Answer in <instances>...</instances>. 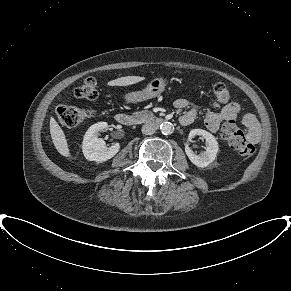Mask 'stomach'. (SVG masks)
I'll use <instances>...</instances> for the list:
<instances>
[{
	"label": "stomach",
	"mask_w": 291,
	"mask_h": 291,
	"mask_svg": "<svg viewBox=\"0 0 291 291\" xmlns=\"http://www.w3.org/2000/svg\"><path fill=\"white\" fill-rule=\"evenodd\" d=\"M165 86L166 81L163 78H155L148 83L145 89L127 93L125 100L135 103L154 98L165 90Z\"/></svg>",
	"instance_id": "obj_1"
}]
</instances>
